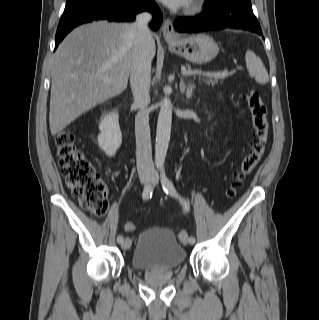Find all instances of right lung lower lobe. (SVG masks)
<instances>
[{
	"label": "right lung lower lobe",
	"mask_w": 319,
	"mask_h": 320,
	"mask_svg": "<svg viewBox=\"0 0 319 320\" xmlns=\"http://www.w3.org/2000/svg\"><path fill=\"white\" fill-rule=\"evenodd\" d=\"M145 10L153 14L151 28L158 29L163 17L153 0H89L73 9L64 10L55 37V49L80 24L102 19L131 21L136 13Z\"/></svg>",
	"instance_id": "obj_1"
}]
</instances>
